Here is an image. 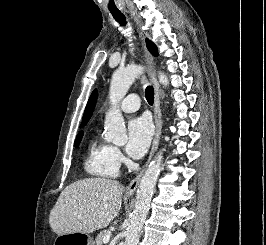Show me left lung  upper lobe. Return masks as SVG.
<instances>
[{
	"mask_svg": "<svg viewBox=\"0 0 266 245\" xmlns=\"http://www.w3.org/2000/svg\"><path fill=\"white\" fill-rule=\"evenodd\" d=\"M146 43H147V48L148 50L154 55L157 56L158 52H157V47L148 39H146Z\"/></svg>",
	"mask_w": 266,
	"mask_h": 245,
	"instance_id": "obj_1",
	"label": "left lung upper lobe"
}]
</instances>
